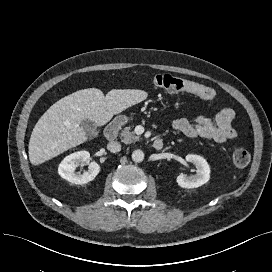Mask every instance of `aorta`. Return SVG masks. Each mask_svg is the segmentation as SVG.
I'll return each mask as SVG.
<instances>
[{"mask_svg": "<svg viewBox=\"0 0 272 272\" xmlns=\"http://www.w3.org/2000/svg\"><path fill=\"white\" fill-rule=\"evenodd\" d=\"M132 160L136 163H140L144 160V152L140 149L133 151Z\"/></svg>", "mask_w": 272, "mask_h": 272, "instance_id": "1", "label": "aorta"}]
</instances>
